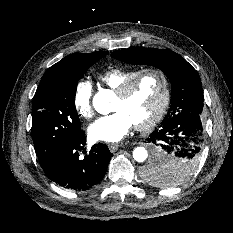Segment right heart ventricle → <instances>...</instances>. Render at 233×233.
Here are the masks:
<instances>
[{
	"label": "right heart ventricle",
	"instance_id": "e07e8e85",
	"mask_svg": "<svg viewBox=\"0 0 233 233\" xmlns=\"http://www.w3.org/2000/svg\"><path fill=\"white\" fill-rule=\"evenodd\" d=\"M138 71V69L116 66L99 73L97 79L102 85L116 91L127 79Z\"/></svg>",
	"mask_w": 233,
	"mask_h": 233
}]
</instances>
